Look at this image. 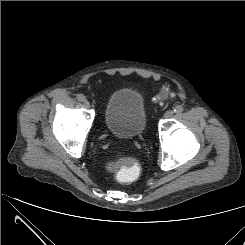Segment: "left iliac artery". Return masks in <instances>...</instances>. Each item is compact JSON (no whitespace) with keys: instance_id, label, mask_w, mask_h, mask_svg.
Instances as JSON below:
<instances>
[{"instance_id":"44dca946","label":"left iliac artery","mask_w":245,"mask_h":245,"mask_svg":"<svg viewBox=\"0 0 245 245\" xmlns=\"http://www.w3.org/2000/svg\"><path fill=\"white\" fill-rule=\"evenodd\" d=\"M184 110V108L181 106V105H177L175 108H174V112L179 114V113H182Z\"/></svg>"}]
</instances>
